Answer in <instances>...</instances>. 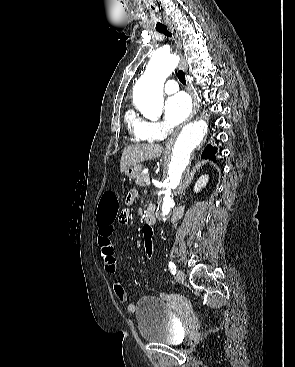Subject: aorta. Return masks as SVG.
<instances>
[{
	"label": "aorta",
	"mask_w": 295,
	"mask_h": 367,
	"mask_svg": "<svg viewBox=\"0 0 295 367\" xmlns=\"http://www.w3.org/2000/svg\"><path fill=\"white\" fill-rule=\"evenodd\" d=\"M178 62L176 54L162 51L154 53L150 59L133 91V102L143 116L154 119L161 116L163 85ZM207 127L204 120L189 123L183 127L175 141L160 197V215L163 219L168 217L173 208V195L185 177L191 152L203 140Z\"/></svg>",
	"instance_id": "762f6f07"
}]
</instances>
